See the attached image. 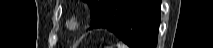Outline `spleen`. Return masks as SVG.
I'll return each mask as SVG.
<instances>
[{
    "label": "spleen",
    "mask_w": 213,
    "mask_h": 48,
    "mask_svg": "<svg viewBox=\"0 0 213 48\" xmlns=\"http://www.w3.org/2000/svg\"><path fill=\"white\" fill-rule=\"evenodd\" d=\"M117 48H128V47L123 43H117Z\"/></svg>",
    "instance_id": "3e777b00"
}]
</instances>
